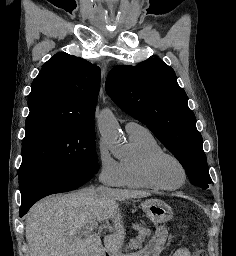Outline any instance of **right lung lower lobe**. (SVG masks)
<instances>
[{
	"label": "right lung lower lobe",
	"mask_w": 236,
	"mask_h": 256,
	"mask_svg": "<svg viewBox=\"0 0 236 256\" xmlns=\"http://www.w3.org/2000/svg\"><path fill=\"white\" fill-rule=\"evenodd\" d=\"M92 177L82 172H74L35 181L21 192L20 217L24 216L30 207L39 199L54 194L74 190L85 184Z\"/></svg>",
	"instance_id": "right-lung-lower-lobe-1"
}]
</instances>
